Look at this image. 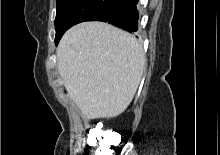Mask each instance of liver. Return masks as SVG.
I'll return each instance as SVG.
<instances>
[{"instance_id": "1", "label": "liver", "mask_w": 220, "mask_h": 155, "mask_svg": "<svg viewBox=\"0 0 220 155\" xmlns=\"http://www.w3.org/2000/svg\"><path fill=\"white\" fill-rule=\"evenodd\" d=\"M56 53L68 96L88 119L124 112L146 64L143 48L133 35L103 22L73 26Z\"/></svg>"}]
</instances>
